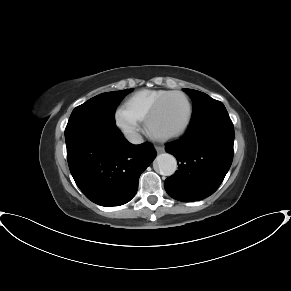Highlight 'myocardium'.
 Listing matches in <instances>:
<instances>
[{
    "label": "myocardium",
    "mask_w": 291,
    "mask_h": 291,
    "mask_svg": "<svg viewBox=\"0 0 291 291\" xmlns=\"http://www.w3.org/2000/svg\"><path fill=\"white\" fill-rule=\"evenodd\" d=\"M173 95H179L185 99L186 105H187L186 120H185L184 124L176 130H173L170 132L157 131L154 128V119H155L157 113L159 112L164 101L168 97L173 96ZM192 117H193V106H192V103H191L189 97L184 92H181V91H169L168 93H166L165 95H163L162 97H160L157 100V102L154 104V106L151 108V110L147 114V116L145 118L146 129H147L148 134L155 139L164 140V139L174 138V137H177V136L183 134L187 130V128L189 127V125L192 121Z\"/></svg>",
    "instance_id": "myocardium-1"
}]
</instances>
